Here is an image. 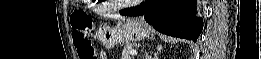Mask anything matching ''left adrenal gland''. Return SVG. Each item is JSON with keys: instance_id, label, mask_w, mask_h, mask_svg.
Here are the masks:
<instances>
[{"instance_id": "1", "label": "left adrenal gland", "mask_w": 261, "mask_h": 59, "mask_svg": "<svg viewBox=\"0 0 261 59\" xmlns=\"http://www.w3.org/2000/svg\"><path fill=\"white\" fill-rule=\"evenodd\" d=\"M147 59H151V56H149L148 54H147Z\"/></svg>"}]
</instances>
